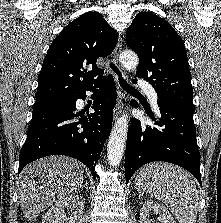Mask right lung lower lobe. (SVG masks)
I'll use <instances>...</instances> for the list:
<instances>
[{
	"mask_svg": "<svg viewBox=\"0 0 221 223\" xmlns=\"http://www.w3.org/2000/svg\"><path fill=\"white\" fill-rule=\"evenodd\" d=\"M101 86L95 98L94 113H75L77 99L85 100L86 91ZM77 95L33 111L27 139L20 151L18 173L28 163L48 155H66L80 160L95 178L94 168L105 140L110 134L116 89L111 75L103 77Z\"/></svg>",
	"mask_w": 221,
	"mask_h": 223,
	"instance_id": "98d812e1",
	"label": "right lung lower lobe"
}]
</instances>
